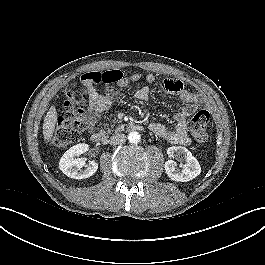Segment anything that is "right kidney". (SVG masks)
Instances as JSON below:
<instances>
[{
	"mask_svg": "<svg viewBox=\"0 0 265 265\" xmlns=\"http://www.w3.org/2000/svg\"><path fill=\"white\" fill-rule=\"evenodd\" d=\"M88 149L89 146L85 143H80L71 147L61 157L59 169L66 176L74 179H84L92 176L97 171L98 164L92 161L89 165H85L86 160L84 158H76V156L78 157L85 153Z\"/></svg>",
	"mask_w": 265,
	"mask_h": 265,
	"instance_id": "obj_1",
	"label": "right kidney"
}]
</instances>
